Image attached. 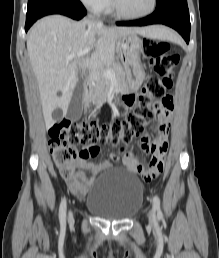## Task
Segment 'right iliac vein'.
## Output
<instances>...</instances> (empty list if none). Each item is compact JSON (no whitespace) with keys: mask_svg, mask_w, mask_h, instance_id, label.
I'll return each mask as SVG.
<instances>
[{"mask_svg":"<svg viewBox=\"0 0 219 258\" xmlns=\"http://www.w3.org/2000/svg\"><path fill=\"white\" fill-rule=\"evenodd\" d=\"M72 218H73V216H72V212H69V216H68L69 221H71V220H72Z\"/></svg>","mask_w":219,"mask_h":258,"instance_id":"obj_1","label":"right iliac vein"}]
</instances>
